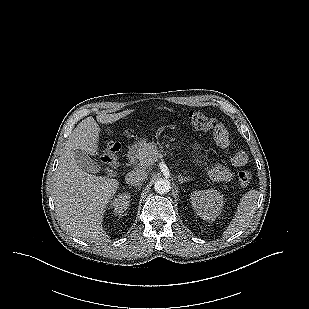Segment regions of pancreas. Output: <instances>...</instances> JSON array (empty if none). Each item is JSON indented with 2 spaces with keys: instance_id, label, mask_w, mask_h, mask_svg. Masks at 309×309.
Masks as SVG:
<instances>
[{
  "instance_id": "pancreas-1",
  "label": "pancreas",
  "mask_w": 309,
  "mask_h": 309,
  "mask_svg": "<svg viewBox=\"0 0 309 309\" xmlns=\"http://www.w3.org/2000/svg\"><path fill=\"white\" fill-rule=\"evenodd\" d=\"M161 157L162 154L160 153L154 142L145 143L140 149L139 154L137 155V159L143 166L151 165Z\"/></svg>"
}]
</instances>
